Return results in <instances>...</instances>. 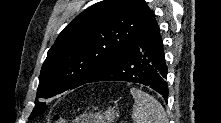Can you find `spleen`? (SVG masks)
<instances>
[{"label":"spleen","instance_id":"spleen-1","mask_svg":"<svg viewBox=\"0 0 221 123\" xmlns=\"http://www.w3.org/2000/svg\"><path fill=\"white\" fill-rule=\"evenodd\" d=\"M134 98L132 118L134 123H166V114L162 105L149 94L131 88Z\"/></svg>","mask_w":221,"mask_h":123}]
</instances>
